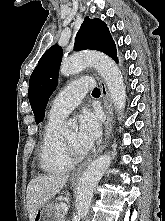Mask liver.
Wrapping results in <instances>:
<instances>
[{"mask_svg":"<svg viewBox=\"0 0 165 221\" xmlns=\"http://www.w3.org/2000/svg\"><path fill=\"white\" fill-rule=\"evenodd\" d=\"M67 180V175H40L29 182L26 200L30 221H34L37 211L62 190Z\"/></svg>","mask_w":165,"mask_h":221,"instance_id":"obj_1","label":"liver"}]
</instances>
